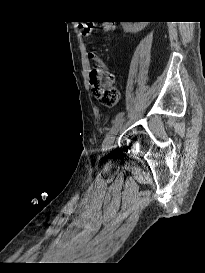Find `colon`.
<instances>
[{
	"mask_svg": "<svg viewBox=\"0 0 205 273\" xmlns=\"http://www.w3.org/2000/svg\"><path fill=\"white\" fill-rule=\"evenodd\" d=\"M103 26L109 29L113 25L112 20L103 21ZM83 33H89L92 26L89 24L82 25ZM90 58L94 66L90 72V89L93 97L103 106H112L119 100L120 93L115 86V78L108 70L104 61L94 52L90 53Z\"/></svg>",
	"mask_w": 205,
	"mask_h": 273,
	"instance_id": "1",
	"label": "colon"
}]
</instances>
